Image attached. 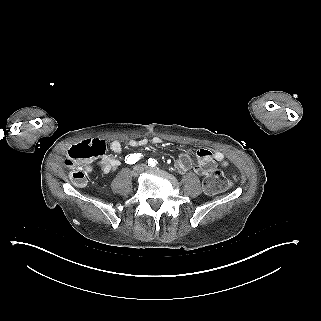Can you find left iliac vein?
<instances>
[{
    "mask_svg": "<svg viewBox=\"0 0 321 321\" xmlns=\"http://www.w3.org/2000/svg\"><path fill=\"white\" fill-rule=\"evenodd\" d=\"M145 169L150 170V171H157L158 170V168H153V167H148V166H146Z\"/></svg>",
    "mask_w": 321,
    "mask_h": 321,
    "instance_id": "obj_1",
    "label": "left iliac vein"
}]
</instances>
